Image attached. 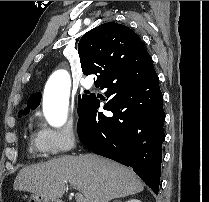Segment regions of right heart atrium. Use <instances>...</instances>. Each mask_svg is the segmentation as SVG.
I'll return each instance as SVG.
<instances>
[{"instance_id":"right-heart-atrium-1","label":"right heart atrium","mask_w":209,"mask_h":202,"mask_svg":"<svg viewBox=\"0 0 209 202\" xmlns=\"http://www.w3.org/2000/svg\"><path fill=\"white\" fill-rule=\"evenodd\" d=\"M38 144L49 155H61L72 150L76 145L77 130L72 122L52 128L42 125L37 133Z\"/></svg>"}]
</instances>
